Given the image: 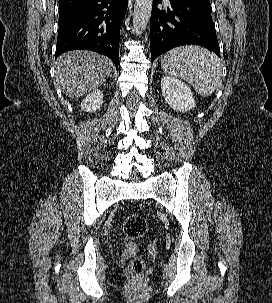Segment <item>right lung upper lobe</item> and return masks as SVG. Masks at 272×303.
I'll use <instances>...</instances> for the list:
<instances>
[{
  "mask_svg": "<svg viewBox=\"0 0 272 303\" xmlns=\"http://www.w3.org/2000/svg\"><path fill=\"white\" fill-rule=\"evenodd\" d=\"M86 0H60L59 10L70 8L74 5L80 4Z\"/></svg>",
  "mask_w": 272,
  "mask_h": 303,
  "instance_id": "right-lung-upper-lobe-1",
  "label": "right lung upper lobe"
}]
</instances>
